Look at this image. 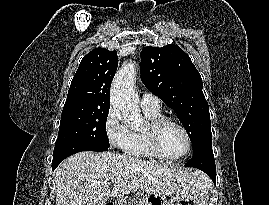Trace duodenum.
<instances>
[{
  "mask_svg": "<svg viewBox=\"0 0 269 205\" xmlns=\"http://www.w3.org/2000/svg\"><path fill=\"white\" fill-rule=\"evenodd\" d=\"M105 205H115V204L112 203V202H108V203H106Z\"/></svg>",
  "mask_w": 269,
  "mask_h": 205,
  "instance_id": "duodenum-1",
  "label": "duodenum"
}]
</instances>
